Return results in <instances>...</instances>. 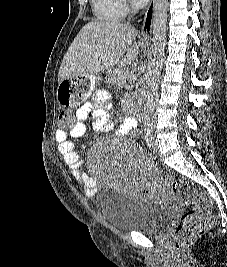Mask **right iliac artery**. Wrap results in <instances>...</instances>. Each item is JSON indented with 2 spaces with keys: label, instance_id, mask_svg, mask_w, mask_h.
I'll list each match as a JSON object with an SVG mask.
<instances>
[{
  "label": "right iliac artery",
  "instance_id": "1",
  "mask_svg": "<svg viewBox=\"0 0 227 267\" xmlns=\"http://www.w3.org/2000/svg\"><path fill=\"white\" fill-rule=\"evenodd\" d=\"M145 141H146V144H147V146L149 148L152 147L153 143H152V138H151V133L150 132H147L145 134Z\"/></svg>",
  "mask_w": 227,
  "mask_h": 267
}]
</instances>
